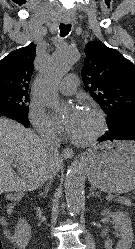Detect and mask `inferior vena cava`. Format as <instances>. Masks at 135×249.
Wrapping results in <instances>:
<instances>
[{"label":"inferior vena cava","mask_w":135,"mask_h":249,"mask_svg":"<svg viewBox=\"0 0 135 249\" xmlns=\"http://www.w3.org/2000/svg\"><path fill=\"white\" fill-rule=\"evenodd\" d=\"M41 139L50 153L54 156L58 155V150L60 148L61 140L57 135V132L54 128H47L41 133ZM56 170L55 167L50 164L43 175L40 178V184H43L45 181L53 180L55 177Z\"/></svg>","instance_id":"obj_1"}]
</instances>
